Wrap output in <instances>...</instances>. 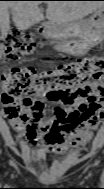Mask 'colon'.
I'll return each instance as SVG.
<instances>
[{"instance_id":"colon-1","label":"colon","mask_w":104,"mask_h":189,"mask_svg":"<svg viewBox=\"0 0 104 189\" xmlns=\"http://www.w3.org/2000/svg\"><path fill=\"white\" fill-rule=\"evenodd\" d=\"M34 50L32 39L12 30L4 37L0 52L5 61H20ZM2 83L5 103H27L34 97L59 99L66 97L69 89L84 84L94 85L100 96L104 89V59L87 56L41 71L13 67L4 73Z\"/></svg>"}]
</instances>
